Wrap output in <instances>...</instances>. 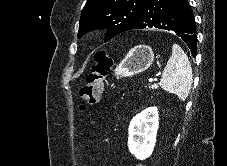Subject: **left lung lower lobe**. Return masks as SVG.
<instances>
[{"label":"left lung lower lobe","instance_id":"1","mask_svg":"<svg viewBox=\"0 0 227 166\" xmlns=\"http://www.w3.org/2000/svg\"><path fill=\"white\" fill-rule=\"evenodd\" d=\"M171 30L181 37L196 55V28L188 0H147L133 29Z\"/></svg>","mask_w":227,"mask_h":166}]
</instances>
